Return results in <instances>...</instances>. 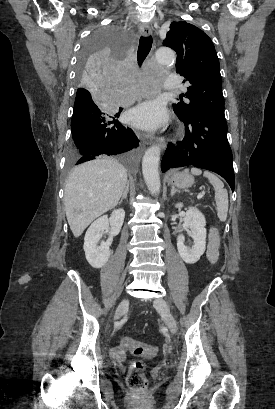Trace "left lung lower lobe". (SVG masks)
I'll list each match as a JSON object with an SVG mask.
<instances>
[{
	"instance_id": "left-lung-lower-lobe-1",
	"label": "left lung lower lobe",
	"mask_w": 275,
	"mask_h": 409,
	"mask_svg": "<svg viewBox=\"0 0 275 409\" xmlns=\"http://www.w3.org/2000/svg\"><path fill=\"white\" fill-rule=\"evenodd\" d=\"M186 133L176 145L168 144L161 168L195 166L221 175L234 191L233 156L227 140L225 116L219 113H198L183 120Z\"/></svg>"
}]
</instances>
